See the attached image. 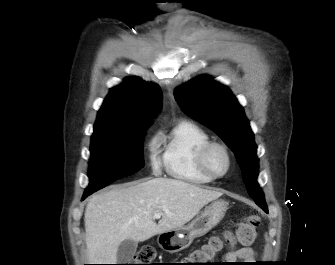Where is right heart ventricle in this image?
Returning a JSON list of instances; mask_svg holds the SVG:
<instances>
[{"instance_id": "obj_1", "label": "right heart ventricle", "mask_w": 335, "mask_h": 265, "mask_svg": "<svg viewBox=\"0 0 335 265\" xmlns=\"http://www.w3.org/2000/svg\"><path fill=\"white\" fill-rule=\"evenodd\" d=\"M211 141L206 130L194 122L183 120L159 138L162 161L173 178L190 184L202 185L213 181L198 165L201 148Z\"/></svg>"}]
</instances>
